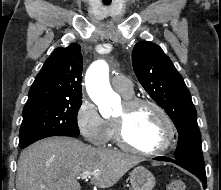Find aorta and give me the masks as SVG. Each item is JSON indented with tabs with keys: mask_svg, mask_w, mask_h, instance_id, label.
Listing matches in <instances>:
<instances>
[{
	"mask_svg": "<svg viewBox=\"0 0 221 190\" xmlns=\"http://www.w3.org/2000/svg\"><path fill=\"white\" fill-rule=\"evenodd\" d=\"M85 85L88 95L98 106L100 114L107 118L112 114V106L119 100L109 83V67L104 60H97L89 67Z\"/></svg>",
	"mask_w": 221,
	"mask_h": 190,
	"instance_id": "1",
	"label": "aorta"
}]
</instances>
